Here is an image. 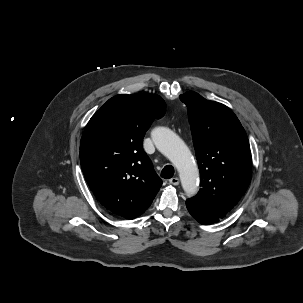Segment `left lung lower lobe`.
<instances>
[{
  "label": "left lung lower lobe",
  "instance_id": "obj_1",
  "mask_svg": "<svg viewBox=\"0 0 303 303\" xmlns=\"http://www.w3.org/2000/svg\"><path fill=\"white\" fill-rule=\"evenodd\" d=\"M186 207H187L189 213L192 215V217L195 218L201 224H204V225L212 224V223L219 221V219H220L216 215H214L200 207H197L188 201H186Z\"/></svg>",
  "mask_w": 303,
  "mask_h": 303
}]
</instances>
